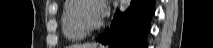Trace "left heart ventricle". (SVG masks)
Masks as SVG:
<instances>
[{
    "instance_id": "obj_1",
    "label": "left heart ventricle",
    "mask_w": 213,
    "mask_h": 48,
    "mask_svg": "<svg viewBox=\"0 0 213 48\" xmlns=\"http://www.w3.org/2000/svg\"><path fill=\"white\" fill-rule=\"evenodd\" d=\"M95 10L96 5L92 1H89L83 8V14L89 23H96L99 21V19L96 16Z\"/></svg>"
}]
</instances>
